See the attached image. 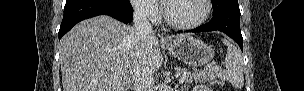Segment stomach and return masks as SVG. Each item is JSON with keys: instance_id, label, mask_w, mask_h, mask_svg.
<instances>
[{"instance_id": "obj_1", "label": "stomach", "mask_w": 304, "mask_h": 91, "mask_svg": "<svg viewBox=\"0 0 304 91\" xmlns=\"http://www.w3.org/2000/svg\"><path fill=\"white\" fill-rule=\"evenodd\" d=\"M166 48L172 56L190 66L206 65L214 56L211 46L190 35L175 38Z\"/></svg>"}]
</instances>
